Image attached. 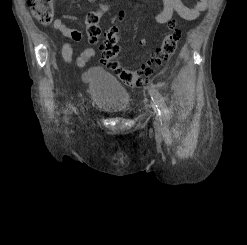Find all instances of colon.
<instances>
[{
  "mask_svg": "<svg viewBox=\"0 0 247 245\" xmlns=\"http://www.w3.org/2000/svg\"><path fill=\"white\" fill-rule=\"evenodd\" d=\"M33 16L41 24H49L53 19L54 0H27ZM105 8L90 11L85 18L86 33L91 43H96L101 34L100 19ZM181 31L175 23L169 26L167 33L158 45L152 49L147 58L136 68L128 69L118 60L120 52L119 36L114 32H107L103 46L102 62L111 69L116 77L131 87H141L147 84L151 76L166 67L178 50Z\"/></svg>",
  "mask_w": 247,
  "mask_h": 245,
  "instance_id": "1",
  "label": "colon"
}]
</instances>
